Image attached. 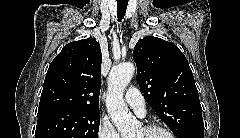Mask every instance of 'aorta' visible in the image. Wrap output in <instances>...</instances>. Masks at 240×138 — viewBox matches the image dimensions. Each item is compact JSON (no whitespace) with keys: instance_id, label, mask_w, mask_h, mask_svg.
I'll return each instance as SVG.
<instances>
[{"instance_id":"obj_1","label":"aorta","mask_w":240,"mask_h":138,"mask_svg":"<svg viewBox=\"0 0 240 138\" xmlns=\"http://www.w3.org/2000/svg\"><path fill=\"white\" fill-rule=\"evenodd\" d=\"M134 70L132 63H123L113 66L108 77L107 111L123 138H131L138 127V121L128 110L123 98L124 90L131 81Z\"/></svg>"}]
</instances>
